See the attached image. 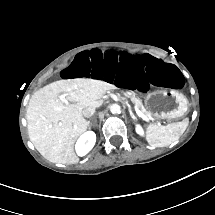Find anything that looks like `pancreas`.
Masks as SVG:
<instances>
[{
	"mask_svg": "<svg viewBox=\"0 0 215 215\" xmlns=\"http://www.w3.org/2000/svg\"><path fill=\"white\" fill-rule=\"evenodd\" d=\"M132 100V103L134 106H137L141 112H143L145 115H149L150 113L144 108L142 101L140 100L139 96H136L135 93H131L129 96Z\"/></svg>",
	"mask_w": 215,
	"mask_h": 215,
	"instance_id": "pancreas-1",
	"label": "pancreas"
}]
</instances>
